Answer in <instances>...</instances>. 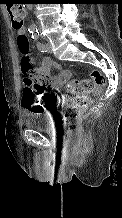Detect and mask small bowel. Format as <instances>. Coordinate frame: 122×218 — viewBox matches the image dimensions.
<instances>
[{"instance_id": "c3829d8e", "label": "small bowel", "mask_w": 122, "mask_h": 218, "mask_svg": "<svg viewBox=\"0 0 122 218\" xmlns=\"http://www.w3.org/2000/svg\"><path fill=\"white\" fill-rule=\"evenodd\" d=\"M18 33H26V28L23 26L20 30H18ZM30 62L32 64V71L35 74L38 84L41 86H49L55 91H60L64 84L70 79L71 77V71L69 69H62L61 66L54 61L53 59L49 57H45L43 59V64L39 67L34 66V61L30 59ZM51 69L59 70L60 73L52 77L50 75ZM45 94L42 96H38L37 99H42ZM25 107V105H24ZM41 109L42 106L40 105ZM26 108V107H25ZM27 109V108H26ZM41 112V111H40Z\"/></svg>"}]
</instances>
